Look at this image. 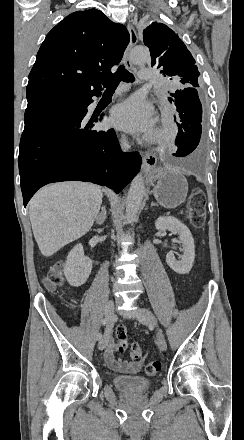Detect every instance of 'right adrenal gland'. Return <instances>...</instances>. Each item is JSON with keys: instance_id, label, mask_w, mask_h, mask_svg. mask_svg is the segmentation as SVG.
<instances>
[{"instance_id": "2a0ac1e0", "label": "right adrenal gland", "mask_w": 244, "mask_h": 440, "mask_svg": "<svg viewBox=\"0 0 244 440\" xmlns=\"http://www.w3.org/2000/svg\"><path fill=\"white\" fill-rule=\"evenodd\" d=\"M100 216H103V218H102V220H100V222H98ZM106 218H107L106 208H105V206H102L101 212H99V214H96L97 224H99V226H101V224H104Z\"/></svg>"}]
</instances>
